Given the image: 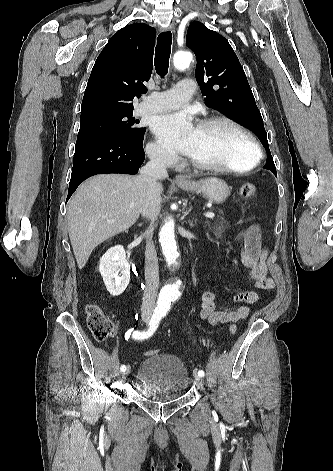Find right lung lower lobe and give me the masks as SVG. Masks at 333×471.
I'll return each mask as SVG.
<instances>
[{"label":"right lung lower lobe","mask_w":333,"mask_h":471,"mask_svg":"<svg viewBox=\"0 0 333 471\" xmlns=\"http://www.w3.org/2000/svg\"><path fill=\"white\" fill-rule=\"evenodd\" d=\"M142 143L112 133L78 135L67 200L81 182L93 175L137 174L145 159Z\"/></svg>","instance_id":"obj_1"}]
</instances>
